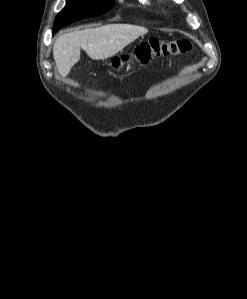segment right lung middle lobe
<instances>
[{"instance_id": "dd1d6c3e", "label": "right lung middle lobe", "mask_w": 247, "mask_h": 299, "mask_svg": "<svg viewBox=\"0 0 247 299\" xmlns=\"http://www.w3.org/2000/svg\"><path fill=\"white\" fill-rule=\"evenodd\" d=\"M112 5L113 0H68L55 18L53 34L74 21L103 14Z\"/></svg>"}]
</instances>
